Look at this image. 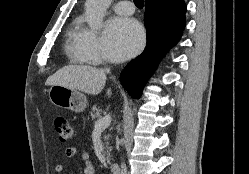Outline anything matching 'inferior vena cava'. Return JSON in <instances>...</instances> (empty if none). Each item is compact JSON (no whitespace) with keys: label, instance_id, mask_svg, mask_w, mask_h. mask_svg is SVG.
Wrapping results in <instances>:
<instances>
[{"label":"inferior vena cava","instance_id":"602c4592","mask_svg":"<svg viewBox=\"0 0 249 174\" xmlns=\"http://www.w3.org/2000/svg\"><path fill=\"white\" fill-rule=\"evenodd\" d=\"M106 72H109L110 70L108 68L105 69ZM121 174H127V168L124 163L121 164Z\"/></svg>","mask_w":249,"mask_h":174}]
</instances>
